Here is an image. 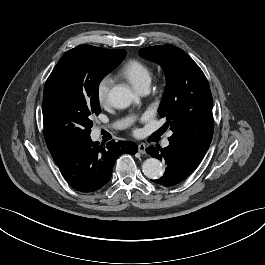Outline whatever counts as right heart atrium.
Segmentation results:
<instances>
[{
	"instance_id": "obj_1",
	"label": "right heart atrium",
	"mask_w": 265,
	"mask_h": 265,
	"mask_svg": "<svg viewBox=\"0 0 265 265\" xmlns=\"http://www.w3.org/2000/svg\"><path fill=\"white\" fill-rule=\"evenodd\" d=\"M112 84L113 80L110 76H104L97 82L96 97L100 105L108 103Z\"/></svg>"
}]
</instances>
